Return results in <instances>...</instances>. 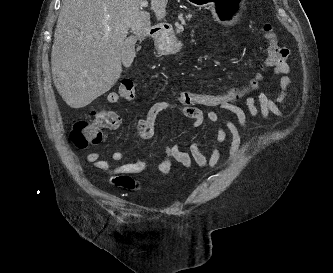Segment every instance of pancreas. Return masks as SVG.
<instances>
[{"label": "pancreas", "instance_id": "pancreas-1", "mask_svg": "<svg viewBox=\"0 0 333 273\" xmlns=\"http://www.w3.org/2000/svg\"><path fill=\"white\" fill-rule=\"evenodd\" d=\"M191 15L190 14H188V15H186V19H191ZM178 20L181 22L180 24L178 23V22H176L175 23V26H176V32L177 33H180V32H182L183 30H184V28H183V25H185V19L183 18V15L182 14H180L179 16H178Z\"/></svg>", "mask_w": 333, "mask_h": 273}]
</instances>
